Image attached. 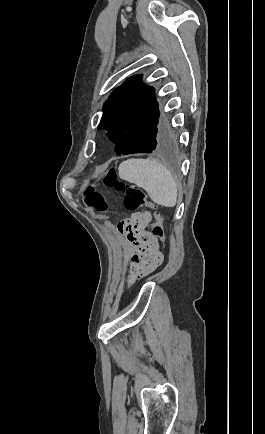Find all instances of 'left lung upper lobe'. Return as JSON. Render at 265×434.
I'll use <instances>...</instances> for the list:
<instances>
[{
  "instance_id": "left-lung-upper-lobe-1",
  "label": "left lung upper lobe",
  "mask_w": 265,
  "mask_h": 434,
  "mask_svg": "<svg viewBox=\"0 0 265 434\" xmlns=\"http://www.w3.org/2000/svg\"><path fill=\"white\" fill-rule=\"evenodd\" d=\"M140 79L138 76L129 78L104 103L98 129L107 131L115 148L130 137L163 124L154 89L142 84Z\"/></svg>"
}]
</instances>
